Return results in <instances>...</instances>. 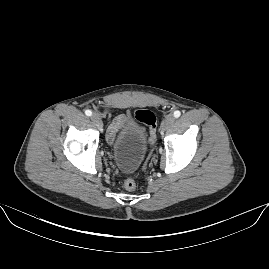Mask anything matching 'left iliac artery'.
Here are the masks:
<instances>
[{
	"instance_id": "left-iliac-artery-1",
	"label": "left iliac artery",
	"mask_w": 269,
	"mask_h": 269,
	"mask_svg": "<svg viewBox=\"0 0 269 269\" xmlns=\"http://www.w3.org/2000/svg\"><path fill=\"white\" fill-rule=\"evenodd\" d=\"M180 115H181L180 111L177 110V111L174 112V116L176 118L180 117Z\"/></svg>"
}]
</instances>
